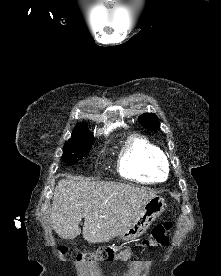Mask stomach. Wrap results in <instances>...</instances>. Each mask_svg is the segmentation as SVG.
<instances>
[{
	"label": "stomach",
	"mask_w": 221,
	"mask_h": 276,
	"mask_svg": "<svg viewBox=\"0 0 221 276\" xmlns=\"http://www.w3.org/2000/svg\"><path fill=\"white\" fill-rule=\"evenodd\" d=\"M165 206V200L155 195L142 206L136 219L129 225L126 231L117 236V240L131 241L140 237L146 232L152 222L161 215L165 210Z\"/></svg>",
	"instance_id": "obj_1"
}]
</instances>
